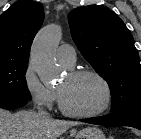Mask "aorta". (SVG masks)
Returning a JSON list of instances; mask_svg holds the SVG:
<instances>
[{
    "mask_svg": "<svg viewBox=\"0 0 141 139\" xmlns=\"http://www.w3.org/2000/svg\"><path fill=\"white\" fill-rule=\"evenodd\" d=\"M61 38V26L50 24L38 32L32 44L31 63L45 85L50 84L58 77L59 72L55 65V50Z\"/></svg>",
    "mask_w": 141,
    "mask_h": 139,
    "instance_id": "obj_1",
    "label": "aorta"
}]
</instances>
